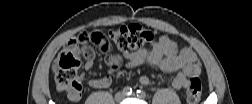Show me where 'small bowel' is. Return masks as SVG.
Listing matches in <instances>:
<instances>
[{"mask_svg":"<svg viewBox=\"0 0 252 104\" xmlns=\"http://www.w3.org/2000/svg\"><path fill=\"white\" fill-rule=\"evenodd\" d=\"M124 60L127 68L133 69L143 64L158 68L164 72H177L172 78L175 89L187 87L189 79L200 73V65L197 55L191 49H180L178 42L167 36H160L153 40L149 46L135 52H124L122 56L112 55L106 60L110 68H117ZM94 67V57L86 59V71ZM112 79L110 76L93 78L89 85L95 89L107 88ZM139 82L143 86H152L153 81L142 76ZM70 101L76 102L81 98V93L76 97L67 96Z\"/></svg>","mask_w":252,"mask_h":104,"instance_id":"1","label":"small bowel"}]
</instances>
